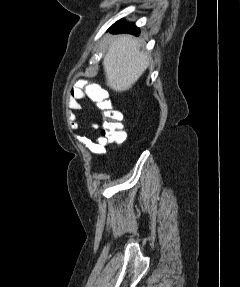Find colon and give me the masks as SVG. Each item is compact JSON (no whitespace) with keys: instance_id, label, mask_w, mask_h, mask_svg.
<instances>
[{"instance_id":"5ec220e1","label":"colon","mask_w":240,"mask_h":287,"mask_svg":"<svg viewBox=\"0 0 240 287\" xmlns=\"http://www.w3.org/2000/svg\"><path fill=\"white\" fill-rule=\"evenodd\" d=\"M89 93L90 97L104 114L101 136L107 143H122L125 140L126 134L121 122V112L115 109L111 100L107 99L99 90L91 89Z\"/></svg>"}]
</instances>
